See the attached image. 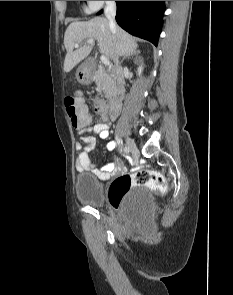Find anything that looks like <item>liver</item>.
<instances>
[{"label":"liver","mask_w":233,"mask_h":295,"mask_svg":"<svg viewBox=\"0 0 233 295\" xmlns=\"http://www.w3.org/2000/svg\"><path fill=\"white\" fill-rule=\"evenodd\" d=\"M89 39L96 40L100 53L113 60L119 56H130L137 48L135 39L129 33L118 26L115 31H112L108 20L103 17H95L86 22H72L64 35V45L67 51L63 66L64 72H70L90 54L91 45L84 44L74 50L75 44Z\"/></svg>","instance_id":"liver-1"}]
</instances>
